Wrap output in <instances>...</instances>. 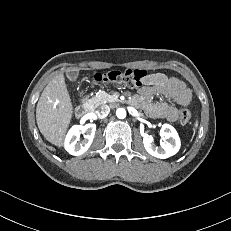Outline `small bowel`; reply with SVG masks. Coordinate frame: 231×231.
Here are the masks:
<instances>
[{
	"label": "small bowel",
	"mask_w": 231,
	"mask_h": 231,
	"mask_svg": "<svg viewBox=\"0 0 231 231\" xmlns=\"http://www.w3.org/2000/svg\"><path fill=\"white\" fill-rule=\"evenodd\" d=\"M156 94L168 98L179 106H187L192 97L190 89L178 78L162 73L147 75L138 95L133 98V103L141 106L149 115L169 121L176 120L178 109L175 105L164 101H152V97Z\"/></svg>",
	"instance_id": "obj_1"
}]
</instances>
